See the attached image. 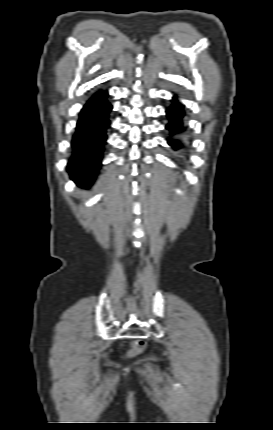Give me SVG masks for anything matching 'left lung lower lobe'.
<instances>
[{
	"label": "left lung lower lobe",
	"instance_id": "obj_1",
	"mask_svg": "<svg viewBox=\"0 0 273 430\" xmlns=\"http://www.w3.org/2000/svg\"><path fill=\"white\" fill-rule=\"evenodd\" d=\"M173 105L166 110V114L169 117L170 123L166 126L170 130L173 136L172 140H168L169 145H171L175 150H180L185 147L182 140L184 137L185 127L182 123V118L184 116L183 106L178 103L176 97L173 98Z\"/></svg>",
	"mask_w": 273,
	"mask_h": 430
}]
</instances>
